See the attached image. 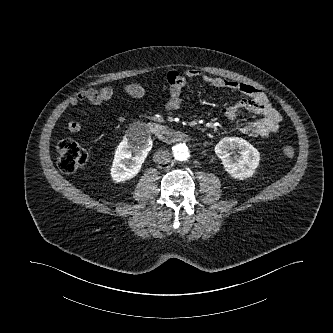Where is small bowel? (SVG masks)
<instances>
[{
  "label": "small bowel",
  "mask_w": 333,
  "mask_h": 333,
  "mask_svg": "<svg viewBox=\"0 0 333 333\" xmlns=\"http://www.w3.org/2000/svg\"><path fill=\"white\" fill-rule=\"evenodd\" d=\"M195 78H201L204 83L214 88L238 91L246 96V98L234 101L222 109L224 117L230 121H234L241 110L250 111L259 117L256 121L241 125L239 130L242 134L253 138L267 137L279 130L281 115L272 107L267 96L260 89L230 79L205 75L195 68L188 69L183 74L179 72L167 74L169 95L165 106L168 110H177L181 107L183 103L181 92L188 81ZM121 91L133 98H142L145 94L144 88L137 83L127 84ZM113 96L114 90L111 87L88 89L78 93L71 100V105H77L85 101L92 104H101L110 100ZM67 128L69 131L76 133L80 131L81 125L78 121L70 119L67 122Z\"/></svg>",
  "instance_id": "c3829d8e"
}]
</instances>
